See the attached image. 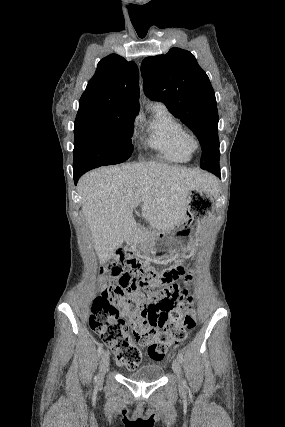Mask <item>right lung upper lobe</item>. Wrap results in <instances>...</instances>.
I'll use <instances>...</instances> for the list:
<instances>
[{
	"label": "right lung upper lobe",
	"instance_id": "cb5924a9",
	"mask_svg": "<svg viewBox=\"0 0 285 427\" xmlns=\"http://www.w3.org/2000/svg\"><path fill=\"white\" fill-rule=\"evenodd\" d=\"M139 71L133 61L111 54L98 63L79 101L75 123L135 118L139 111Z\"/></svg>",
	"mask_w": 285,
	"mask_h": 427
}]
</instances>
